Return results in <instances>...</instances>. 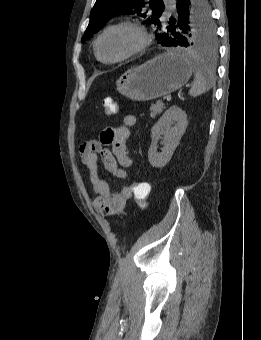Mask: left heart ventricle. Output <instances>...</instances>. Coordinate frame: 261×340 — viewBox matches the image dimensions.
<instances>
[{
  "label": "left heart ventricle",
  "instance_id": "left-heart-ventricle-1",
  "mask_svg": "<svg viewBox=\"0 0 261 340\" xmlns=\"http://www.w3.org/2000/svg\"><path fill=\"white\" fill-rule=\"evenodd\" d=\"M139 43L138 33L122 26L108 31L99 43V53L104 59H114L133 50Z\"/></svg>",
  "mask_w": 261,
  "mask_h": 340
}]
</instances>
